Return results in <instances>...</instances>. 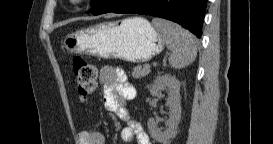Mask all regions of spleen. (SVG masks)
<instances>
[{"mask_svg": "<svg viewBox=\"0 0 273 144\" xmlns=\"http://www.w3.org/2000/svg\"><path fill=\"white\" fill-rule=\"evenodd\" d=\"M152 23L164 44L171 50L169 57L171 67L181 69L194 62L197 56L194 35L180 25L165 19L154 18Z\"/></svg>", "mask_w": 273, "mask_h": 144, "instance_id": "spleen-1", "label": "spleen"}]
</instances>
